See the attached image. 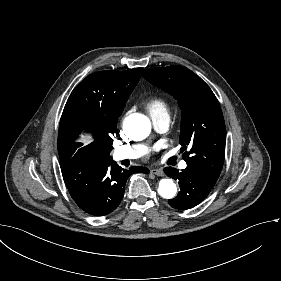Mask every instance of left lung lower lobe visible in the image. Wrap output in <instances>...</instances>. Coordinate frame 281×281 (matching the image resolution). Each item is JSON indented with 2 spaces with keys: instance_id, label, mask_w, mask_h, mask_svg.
I'll return each instance as SVG.
<instances>
[{
  "instance_id": "1",
  "label": "left lung lower lobe",
  "mask_w": 281,
  "mask_h": 281,
  "mask_svg": "<svg viewBox=\"0 0 281 281\" xmlns=\"http://www.w3.org/2000/svg\"><path fill=\"white\" fill-rule=\"evenodd\" d=\"M164 172L167 176L179 180L181 190L175 198L168 200V203L180 210L190 209L201 203L217 181L201 170L188 165L181 172L172 167H166Z\"/></svg>"
}]
</instances>
